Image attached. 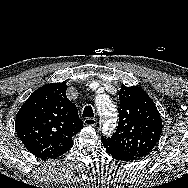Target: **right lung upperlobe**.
Instances as JSON below:
<instances>
[{
	"instance_id": "obj_1",
	"label": "right lung upper lobe",
	"mask_w": 188,
	"mask_h": 188,
	"mask_svg": "<svg viewBox=\"0 0 188 188\" xmlns=\"http://www.w3.org/2000/svg\"><path fill=\"white\" fill-rule=\"evenodd\" d=\"M66 84H46L35 90L16 115L18 137L36 157L56 158L72 146L83 127L75 106L66 97Z\"/></svg>"
}]
</instances>
